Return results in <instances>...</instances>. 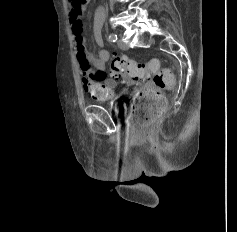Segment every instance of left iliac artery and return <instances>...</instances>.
Wrapping results in <instances>:
<instances>
[{
  "label": "left iliac artery",
  "mask_w": 237,
  "mask_h": 232,
  "mask_svg": "<svg viewBox=\"0 0 237 232\" xmlns=\"http://www.w3.org/2000/svg\"><path fill=\"white\" fill-rule=\"evenodd\" d=\"M108 41H110V42H115V41H117V35L114 34V33L109 34V36H108Z\"/></svg>",
  "instance_id": "obj_1"
}]
</instances>
